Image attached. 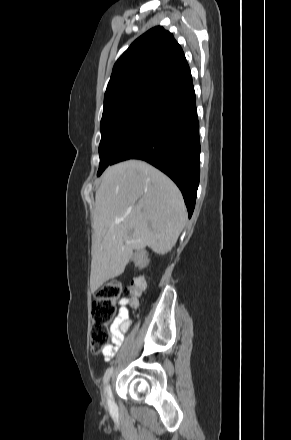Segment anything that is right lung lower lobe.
<instances>
[{
    "mask_svg": "<svg viewBox=\"0 0 291 440\" xmlns=\"http://www.w3.org/2000/svg\"><path fill=\"white\" fill-rule=\"evenodd\" d=\"M144 160L168 175L181 190L191 217L200 178L199 123L192 76L155 97L110 165Z\"/></svg>",
    "mask_w": 291,
    "mask_h": 440,
    "instance_id": "right-lung-lower-lobe-1",
    "label": "right lung lower lobe"
}]
</instances>
